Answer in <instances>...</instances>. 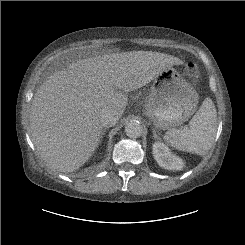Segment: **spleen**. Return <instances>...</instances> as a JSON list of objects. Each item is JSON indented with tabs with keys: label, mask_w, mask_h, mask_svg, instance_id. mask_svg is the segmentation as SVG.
I'll use <instances>...</instances> for the list:
<instances>
[{
	"label": "spleen",
	"mask_w": 245,
	"mask_h": 245,
	"mask_svg": "<svg viewBox=\"0 0 245 245\" xmlns=\"http://www.w3.org/2000/svg\"><path fill=\"white\" fill-rule=\"evenodd\" d=\"M189 125L183 129L167 131L164 140L180 151L206 154L212 147L217 131V112L210 98L203 101Z\"/></svg>",
	"instance_id": "spleen-1"
}]
</instances>
